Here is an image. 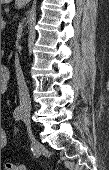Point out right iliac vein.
Masks as SVG:
<instances>
[{
  "label": "right iliac vein",
  "mask_w": 109,
  "mask_h": 170,
  "mask_svg": "<svg viewBox=\"0 0 109 170\" xmlns=\"http://www.w3.org/2000/svg\"><path fill=\"white\" fill-rule=\"evenodd\" d=\"M23 117L26 120L27 123H31V113L29 110H24L23 111Z\"/></svg>",
  "instance_id": "obj_1"
}]
</instances>
